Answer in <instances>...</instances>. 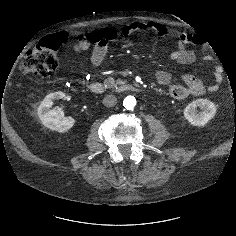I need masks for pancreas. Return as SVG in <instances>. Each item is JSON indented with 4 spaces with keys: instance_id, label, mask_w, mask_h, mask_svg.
Listing matches in <instances>:
<instances>
[{
    "instance_id": "pancreas-1",
    "label": "pancreas",
    "mask_w": 236,
    "mask_h": 236,
    "mask_svg": "<svg viewBox=\"0 0 236 236\" xmlns=\"http://www.w3.org/2000/svg\"><path fill=\"white\" fill-rule=\"evenodd\" d=\"M126 81H123L121 79H118L116 82L113 78H107L104 81V85L108 88L116 87L117 85L125 84Z\"/></svg>"
}]
</instances>
